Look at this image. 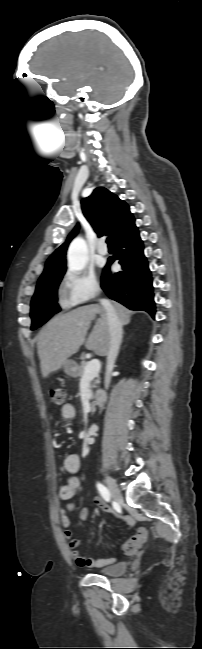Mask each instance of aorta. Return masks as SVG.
I'll use <instances>...</instances> for the list:
<instances>
[{"mask_svg":"<svg viewBox=\"0 0 202 649\" xmlns=\"http://www.w3.org/2000/svg\"><path fill=\"white\" fill-rule=\"evenodd\" d=\"M88 262L87 245L85 241L78 237L72 241L68 249V265L73 270H83Z\"/></svg>","mask_w":202,"mask_h":649,"instance_id":"762f6f07","label":"aorta"}]
</instances>
